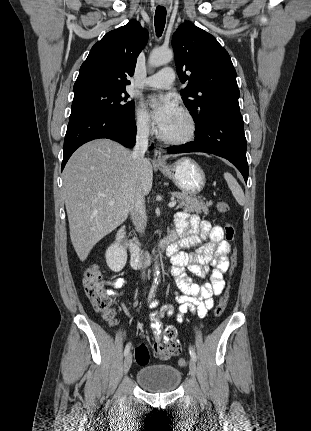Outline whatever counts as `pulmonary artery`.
<instances>
[{"mask_svg":"<svg viewBox=\"0 0 311 431\" xmlns=\"http://www.w3.org/2000/svg\"><path fill=\"white\" fill-rule=\"evenodd\" d=\"M174 80V70L170 67H164L155 74L147 77L144 81V85L151 88L165 89L169 88Z\"/></svg>","mask_w":311,"mask_h":431,"instance_id":"pulmonary-artery-1","label":"pulmonary artery"}]
</instances>
